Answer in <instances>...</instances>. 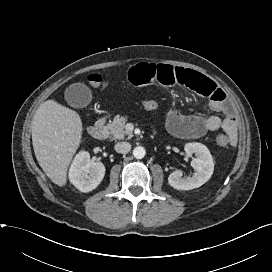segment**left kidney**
I'll list each match as a JSON object with an SVG mask.
<instances>
[{"label": "left kidney", "instance_id": "obj_1", "mask_svg": "<svg viewBox=\"0 0 272 272\" xmlns=\"http://www.w3.org/2000/svg\"><path fill=\"white\" fill-rule=\"evenodd\" d=\"M188 156L195 154L191 161V166L195 169L192 177H183L180 170L172 172L168 177V183L177 190H191L206 183L213 174L214 162L208 148L201 143H187L184 147Z\"/></svg>", "mask_w": 272, "mask_h": 272}]
</instances>
